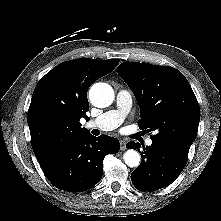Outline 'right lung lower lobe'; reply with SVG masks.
I'll return each instance as SVG.
<instances>
[{"label":"right lung lower lobe","instance_id":"98d812e1","mask_svg":"<svg viewBox=\"0 0 221 221\" xmlns=\"http://www.w3.org/2000/svg\"><path fill=\"white\" fill-rule=\"evenodd\" d=\"M118 151L117 139L87 134L39 163L47 179L58 189L83 192L101 180L104 157Z\"/></svg>","mask_w":221,"mask_h":221}]
</instances>
